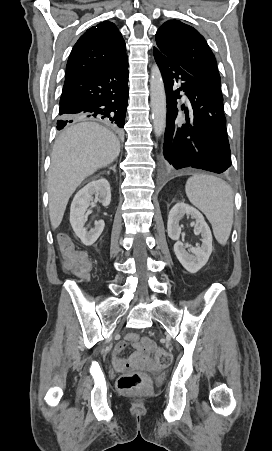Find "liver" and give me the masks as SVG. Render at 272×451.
I'll return each mask as SVG.
<instances>
[{
  "label": "liver",
  "mask_w": 272,
  "mask_h": 451,
  "mask_svg": "<svg viewBox=\"0 0 272 451\" xmlns=\"http://www.w3.org/2000/svg\"><path fill=\"white\" fill-rule=\"evenodd\" d=\"M79 122V124H77ZM120 154V142L110 130L76 116L57 138L48 176L49 216L53 229L60 226L68 200L81 182L112 164Z\"/></svg>",
  "instance_id": "1"
}]
</instances>
